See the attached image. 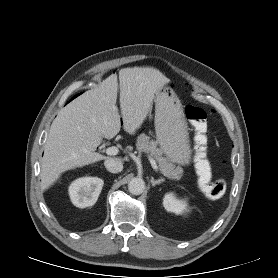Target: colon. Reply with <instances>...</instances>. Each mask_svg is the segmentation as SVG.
<instances>
[{"mask_svg":"<svg viewBox=\"0 0 278 278\" xmlns=\"http://www.w3.org/2000/svg\"><path fill=\"white\" fill-rule=\"evenodd\" d=\"M185 114L195 131V160L198 165L201 190L208 198H220L226 191V183L222 178L211 181L209 178V167L206 163L208 142L206 134L207 114L202 108L195 105H188L185 109Z\"/></svg>","mask_w":278,"mask_h":278,"instance_id":"obj_1","label":"colon"}]
</instances>
